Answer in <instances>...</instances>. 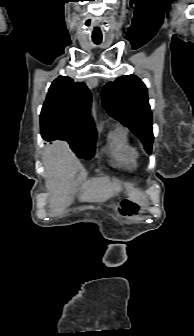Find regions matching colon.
I'll use <instances>...</instances> for the list:
<instances>
[{
	"instance_id": "1",
	"label": "colon",
	"mask_w": 194,
	"mask_h": 336,
	"mask_svg": "<svg viewBox=\"0 0 194 336\" xmlns=\"http://www.w3.org/2000/svg\"><path fill=\"white\" fill-rule=\"evenodd\" d=\"M127 205H128V206H130V207H132V206H133V204H131V203H127Z\"/></svg>"
}]
</instances>
